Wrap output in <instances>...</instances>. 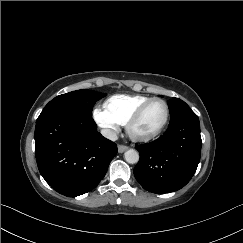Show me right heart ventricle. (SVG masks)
<instances>
[{"label":"right heart ventricle","instance_id":"1","mask_svg":"<svg viewBox=\"0 0 243 243\" xmlns=\"http://www.w3.org/2000/svg\"><path fill=\"white\" fill-rule=\"evenodd\" d=\"M151 97L144 95H114L104 104L105 110L121 125H126L130 116Z\"/></svg>","mask_w":243,"mask_h":243}]
</instances>
